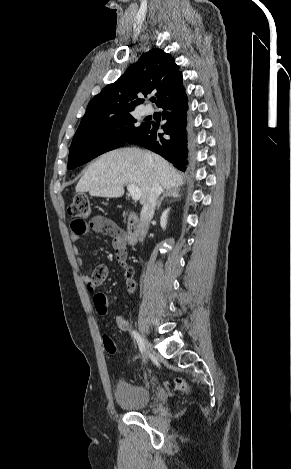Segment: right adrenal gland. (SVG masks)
<instances>
[{"instance_id":"obj_1","label":"right adrenal gland","mask_w":291,"mask_h":469,"mask_svg":"<svg viewBox=\"0 0 291 469\" xmlns=\"http://www.w3.org/2000/svg\"><path fill=\"white\" fill-rule=\"evenodd\" d=\"M179 192H180V189L177 187L166 189L165 192L163 193V196L160 198V200L157 203V209L160 208L162 201L167 197L180 198L181 195L179 194Z\"/></svg>"}]
</instances>
